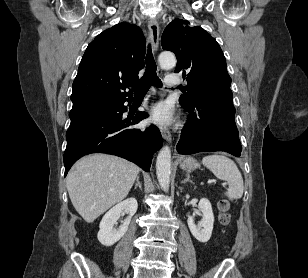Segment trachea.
Wrapping results in <instances>:
<instances>
[{
  "mask_svg": "<svg viewBox=\"0 0 308 278\" xmlns=\"http://www.w3.org/2000/svg\"><path fill=\"white\" fill-rule=\"evenodd\" d=\"M156 70L157 66L153 58L151 47L149 45L146 55V71L140 81L133 87L135 95L146 93L152 85L159 88L162 87V82L157 76Z\"/></svg>",
  "mask_w": 308,
  "mask_h": 278,
  "instance_id": "3493384b",
  "label": "trachea"
}]
</instances>
